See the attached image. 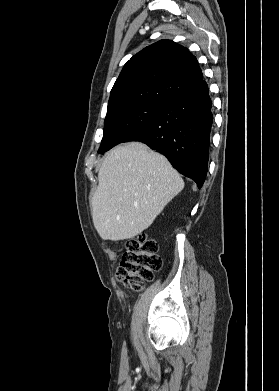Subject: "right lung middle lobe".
Instances as JSON below:
<instances>
[{"label": "right lung middle lobe", "mask_w": 279, "mask_h": 391, "mask_svg": "<svg viewBox=\"0 0 279 391\" xmlns=\"http://www.w3.org/2000/svg\"><path fill=\"white\" fill-rule=\"evenodd\" d=\"M163 104L140 103L107 112L99 153L125 142L136 131L147 126L158 114Z\"/></svg>", "instance_id": "right-lung-middle-lobe-1"}]
</instances>
